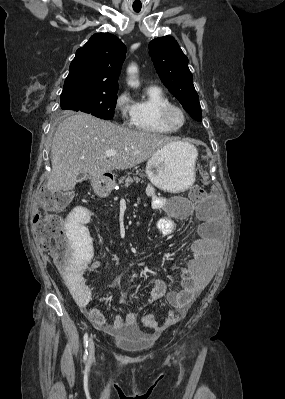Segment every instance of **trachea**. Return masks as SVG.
Returning a JSON list of instances; mask_svg holds the SVG:
<instances>
[{"instance_id": "obj_1", "label": "trachea", "mask_w": 285, "mask_h": 399, "mask_svg": "<svg viewBox=\"0 0 285 399\" xmlns=\"http://www.w3.org/2000/svg\"><path fill=\"white\" fill-rule=\"evenodd\" d=\"M136 13L140 12V10H134Z\"/></svg>"}]
</instances>
